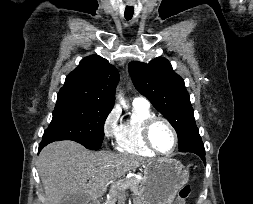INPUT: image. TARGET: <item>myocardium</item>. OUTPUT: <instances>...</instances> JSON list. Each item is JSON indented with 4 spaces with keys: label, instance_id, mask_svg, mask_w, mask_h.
Returning a JSON list of instances; mask_svg holds the SVG:
<instances>
[{
    "label": "myocardium",
    "instance_id": "myocardium-1",
    "mask_svg": "<svg viewBox=\"0 0 253 204\" xmlns=\"http://www.w3.org/2000/svg\"><path fill=\"white\" fill-rule=\"evenodd\" d=\"M157 122H163L164 124H166L173 135L174 144H173L172 149L169 152H161L152 143L151 129ZM142 138L148 149H150L153 153L157 155L165 156V157L173 155L175 151L177 150L178 143H179L177 131L172 125V123L168 119L164 117H160V116H153L144 122L143 127H142Z\"/></svg>",
    "mask_w": 253,
    "mask_h": 204
}]
</instances>
